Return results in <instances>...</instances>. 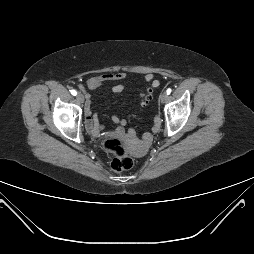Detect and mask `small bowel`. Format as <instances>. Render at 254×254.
Here are the masks:
<instances>
[{"instance_id": "small-bowel-1", "label": "small bowel", "mask_w": 254, "mask_h": 254, "mask_svg": "<svg viewBox=\"0 0 254 254\" xmlns=\"http://www.w3.org/2000/svg\"><path fill=\"white\" fill-rule=\"evenodd\" d=\"M127 75L128 74L126 72L121 71L116 73H107V74L93 76L88 79L87 87L90 90H95L107 82L124 80L127 77ZM145 81L150 83L153 88L159 85V81L155 78L154 74L152 73H147L145 75ZM79 88L85 93L86 99H87L86 105H85L86 129L92 136L96 138H100L102 136V130L104 129V126L100 123L98 114L93 113L92 111L91 95L85 91V88L82 85H79ZM124 90H125V87L122 84H116L112 87V91L114 93H121ZM112 120L118 126L117 130L113 134L120 135V136L123 135L122 127L125 125V121L122 119H119L117 116H113ZM159 128H160V119L156 117L152 131L157 132ZM150 137H151V134L146 133L144 135V141H148Z\"/></svg>"}]
</instances>
